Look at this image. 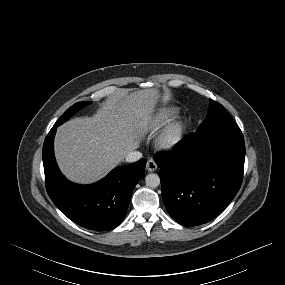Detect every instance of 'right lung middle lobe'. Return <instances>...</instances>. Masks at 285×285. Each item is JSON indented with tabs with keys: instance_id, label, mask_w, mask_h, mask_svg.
Here are the masks:
<instances>
[{
	"instance_id": "obj_1",
	"label": "right lung middle lobe",
	"mask_w": 285,
	"mask_h": 285,
	"mask_svg": "<svg viewBox=\"0 0 285 285\" xmlns=\"http://www.w3.org/2000/svg\"><path fill=\"white\" fill-rule=\"evenodd\" d=\"M91 102H77L74 105H72L69 109H67L64 114L57 120L55 123L56 125H61L65 121H67L72 115H74L80 108H82L85 105L90 104Z\"/></svg>"
}]
</instances>
